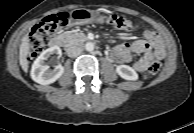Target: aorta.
<instances>
[{
  "label": "aorta",
  "mask_w": 194,
  "mask_h": 133,
  "mask_svg": "<svg viewBox=\"0 0 194 133\" xmlns=\"http://www.w3.org/2000/svg\"><path fill=\"white\" fill-rule=\"evenodd\" d=\"M85 49H86L87 51H89V52L93 51V50H94V43H92V42H87V43L85 44Z\"/></svg>",
  "instance_id": "762f6f07"
}]
</instances>
